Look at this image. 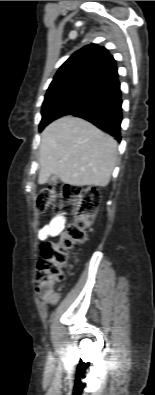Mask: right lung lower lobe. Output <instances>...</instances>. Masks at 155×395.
<instances>
[{
  "label": "right lung lower lobe",
  "instance_id": "right-lung-lower-lobe-1",
  "mask_svg": "<svg viewBox=\"0 0 155 395\" xmlns=\"http://www.w3.org/2000/svg\"><path fill=\"white\" fill-rule=\"evenodd\" d=\"M69 114L93 123L120 142L122 100L120 83L117 77L104 86L87 103L77 107Z\"/></svg>",
  "mask_w": 155,
  "mask_h": 395
}]
</instances>
